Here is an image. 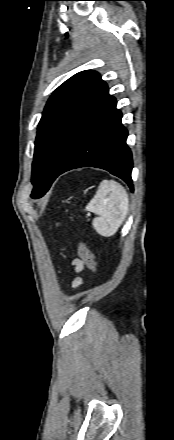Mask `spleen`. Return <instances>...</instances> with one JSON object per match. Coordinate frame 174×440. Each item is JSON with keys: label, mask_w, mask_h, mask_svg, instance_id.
<instances>
[{"label": "spleen", "mask_w": 174, "mask_h": 440, "mask_svg": "<svg viewBox=\"0 0 174 440\" xmlns=\"http://www.w3.org/2000/svg\"><path fill=\"white\" fill-rule=\"evenodd\" d=\"M86 210L95 213V231L104 237L114 235L124 222L129 210V198L125 188L115 180H103Z\"/></svg>", "instance_id": "obj_1"}]
</instances>
